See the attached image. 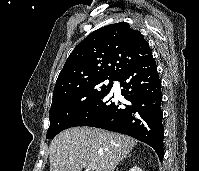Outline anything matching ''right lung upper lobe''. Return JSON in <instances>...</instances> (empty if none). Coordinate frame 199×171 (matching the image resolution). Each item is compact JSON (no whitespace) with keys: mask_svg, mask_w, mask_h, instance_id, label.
I'll return each instance as SVG.
<instances>
[{"mask_svg":"<svg viewBox=\"0 0 199 171\" xmlns=\"http://www.w3.org/2000/svg\"><path fill=\"white\" fill-rule=\"evenodd\" d=\"M151 56L148 42L128 23L102 27L74 48L56 81L53 101L87 81L117 77L130 66Z\"/></svg>","mask_w":199,"mask_h":171,"instance_id":"right-lung-upper-lobe-1","label":"right lung upper lobe"}]
</instances>
